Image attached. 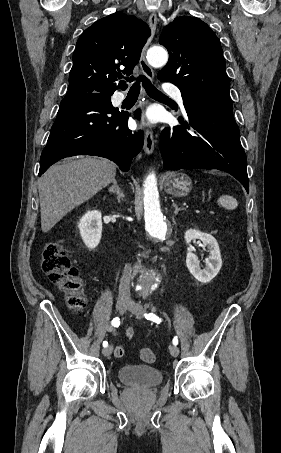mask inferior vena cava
I'll use <instances>...</instances> for the list:
<instances>
[{
    "instance_id": "602c4592",
    "label": "inferior vena cava",
    "mask_w": 281,
    "mask_h": 453,
    "mask_svg": "<svg viewBox=\"0 0 281 453\" xmlns=\"http://www.w3.org/2000/svg\"><path fill=\"white\" fill-rule=\"evenodd\" d=\"M132 277L131 267L126 269L122 279H120L118 299L119 301H131L130 297V281Z\"/></svg>"
}]
</instances>
